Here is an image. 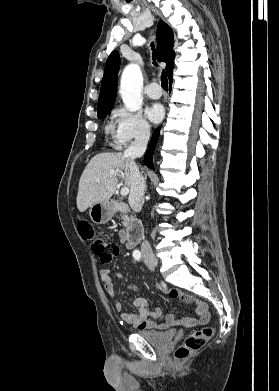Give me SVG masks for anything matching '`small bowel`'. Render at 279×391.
<instances>
[{"instance_id": "small-bowel-1", "label": "small bowel", "mask_w": 279, "mask_h": 391, "mask_svg": "<svg viewBox=\"0 0 279 391\" xmlns=\"http://www.w3.org/2000/svg\"><path fill=\"white\" fill-rule=\"evenodd\" d=\"M118 238L121 243L125 244L127 248H132L128 242L127 234L124 231L118 232ZM116 276L121 279V274H116ZM100 277L102 282L104 283L105 291L109 296L114 299L115 309L120 312L121 320L129 325H133L134 327L144 330V329H157V330H165L169 327L175 325H181L187 328L194 327L197 325H204L210 319V313L208 311V307L205 303L198 301L193 296L186 294L177 289H166L162 286L159 288L168 293L171 298L182 300L189 304H194L196 307L197 317H181L175 318L172 314H168L166 316L165 322L156 323L154 320L160 319L162 316V310L160 308H156L152 310L150 308L149 302L144 297H138L134 299L133 305L136 308L135 311L131 313L122 312V303L117 298L116 288L111 278V272L109 269H101Z\"/></svg>"}]
</instances>
